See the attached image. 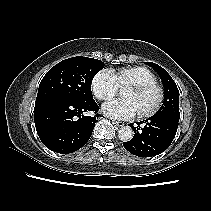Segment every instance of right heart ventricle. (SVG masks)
<instances>
[{
  "instance_id": "1",
  "label": "right heart ventricle",
  "mask_w": 211,
  "mask_h": 211,
  "mask_svg": "<svg viewBox=\"0 0 211 211\" xmlns=\"http://www.w3.org/2000/svg\"><path fill=\"white\" fill-rule=\"evenodd\" d=\"M119 86L156 81L155 74L143 66L123 67L113 72Z\"/></svg>"
}]
</instances>
